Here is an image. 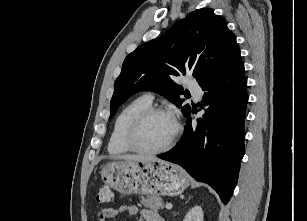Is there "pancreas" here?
Returning a JSON list of instances; mask_svg holds the SVG:
<instances>
[{
    "instance_id": "1",
    "label": "pancreas",
    "mask_w": 307,
    "mask_h": 221,
    "mask_svg": "<svg viewBox=\"0 0 307 221\" xmlns=\"http://www.w3.org/2000/svg\"><path fill=\"white\" fill-rule=\"evenodd\" d=\"M141 203L144 207L155 211H159L164 208V201L156 195H150L147 196V198L141 197Z\"/></svg>"
}]
</instances>
